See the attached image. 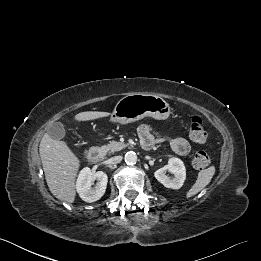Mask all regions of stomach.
I'll use <instances>...</instances> for the list:
<instances>
[{
  "label": "stomach",
  "instance_id": "1",
  "mask_svg": "<svg viewBox=\"0 0 261 261\" xmlns=\"http://www.w3.org/2000/svg\"><path fill=\"white\" fill-rule=\"evenodd\" d=\"M170 113V106L162 97L154 94L131 93L117 102L112 121L127 124L144 117L164 120Z\"/></svg>",
  "mask_w": 261,
  "mask_h": 261
}]
</instances>
